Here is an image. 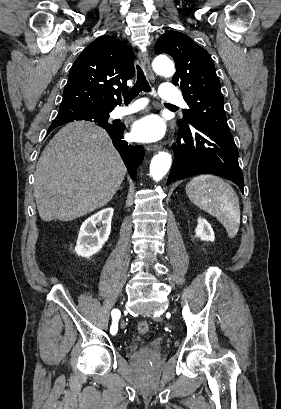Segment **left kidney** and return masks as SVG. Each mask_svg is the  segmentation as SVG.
I'll return each mask as SVG.
<instances>
[{
    "instance_id": "1",
    "label": "left kidney",
    "mask_w": 281,
    "mask_h": 409,
    "mask_svg": "<svg viewBox=\"0 0 281 409\" xmlns=\"http://www.w3.org/2000/svg\"><path fill=\"white\" fill-rule=\"evenodd\" d=\"M195 233L196 237H199L200 241H214L215 239L214 231L211 225L207 223L206 219H201V217H199L197 221Z\"/></svg>"
}]
</instances>
